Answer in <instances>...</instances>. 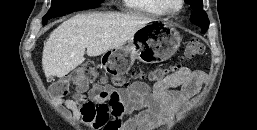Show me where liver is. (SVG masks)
<instances>
[{
  "label": "liver",
  "mask_w": 257,
  "mask_h": 130,
  "mask_svg": "<svg viewBox=\"0 0 257 130\" xmlns=\"http://www.w3.org/2000/svg\"><path fill=\"white\" fill-rule=\"evenodd\" d=\"M154 19L121 13L78 14L60 24L44 44L45 76L62 78L90 57L122 47Z\"/></svg>",
  "instance_id": "6515ba94"
}]
</instances>
